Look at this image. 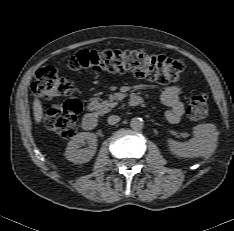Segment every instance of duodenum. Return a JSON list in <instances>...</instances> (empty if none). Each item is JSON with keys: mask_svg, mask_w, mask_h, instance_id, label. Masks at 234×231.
<instances>
[{"mask_svg": "<svg viewBox=\"0 0 234 231\" xmlns=\"http://www.w3.org/2000/svg\"><path fill=\"white\" fill-rule=\"evenodd\" d=\"M131 106H140L143 104V99L140 96L134 95L130 98ZM97 126V116L94 113H86L82 119L83 129L90 131Z\"/></svg>", "mask_w": 234, "mask_h": 231, "instance_id": "obj_1", "label": "duodenum"}]
</instances>
